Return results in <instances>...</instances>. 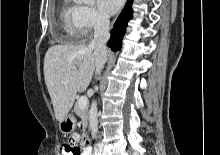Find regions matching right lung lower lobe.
Instances as JSON below:
<instances>
[{"instance_id": "1", "label": "right lung lower lobe", "mask_w": 220, "mask_h": 155, "mask_svg": "<svg viewBox=\"0 0 220 155\" xmlns=\"http://www.w3.org/2000/svg\"><path fill=\"white\" fill-rule=\"evenodd\" d=\"M132 0H127L121 14L118 16L113 29L111 30V38L107 45L113 50L118 51L121 48L123 35L126 32L128 21L132 18L133 10L131 8Z\"/></svg>"}]
</instances>
